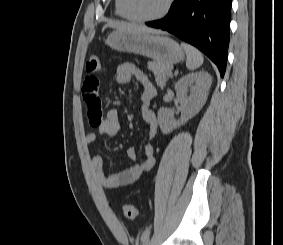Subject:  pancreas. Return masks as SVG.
I'll return each instance as SVG.
<instances>
[{"instance_id": "pancreas-1", "label": "pancreas", "mask_w": 283, "mask_h": 245, "mask_svg": "<svg viewBox=\"0 0 283 245\" xmlns=\"http://www.w3.org/2000/svg\"><path fill=\"white\" fill-rule=\"evenodd\" d=\"M148 68L154 73L157 85L163 88L170 76L169 72L172 70V66L159 61H152L148 63Z\"/></svg>"}]
</instances>
